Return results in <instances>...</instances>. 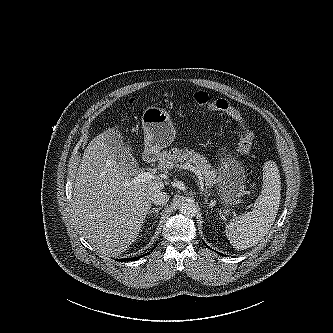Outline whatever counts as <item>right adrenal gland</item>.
Instances as JSON below:
<instances>
[{
  "label": "right adrenal gland",
  "instance_id": "obj_1",
  "mask_svg": "<svg viewBox=\"0 0 333 333\" xmlns=\"http://www.w3.org/2000/svg\"><path fill=\"white\" fill-rule=\"evenodd\" d=\"M162 209V207H156L152 208L147 212V215L150 216L152 214H156V217L158 216L159 211Z\"/></svg>",
  "mask_w": 333,
  "mask_h": 333
}]
</instances>
